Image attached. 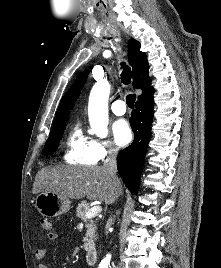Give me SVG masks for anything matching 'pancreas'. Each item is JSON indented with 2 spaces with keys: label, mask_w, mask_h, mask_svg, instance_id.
<instances>
[{
  "label": "pancreas",
  "mask_w": 221,
  "mask_h": 268,
  "mask_svg": "<svg viewBox=\"0 0 221 268\" xmlns=\"http://www.w3.org/2000/svg\"><path fill=\"white\" fill-rule=\"evenodd\" d=\"M90 209L89 203L82 201L78 204L76 208V213L78 218L82 219L85 222L87 227L86 235L83 238V247L85 250H90L94 247V240L96 239V226L94 219H89L85 217V213Z\"/></svg>",
  "instance_id": "1"
}]
</instances>
